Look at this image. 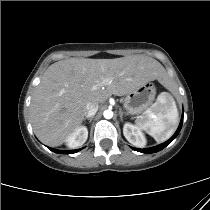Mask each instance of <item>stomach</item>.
I'll return each instance as SVG.
<instances>
[{"instance_id":"0dacf381","label":"stomach","mask_w":210,"mask_h":210,"mask_svg":"<svg viewBox=\"0 0 210 210\" xmlns=\"http://www.w3.org/2000/svg\"><path fill=\"white\" fill-rule=\"evenodd\" d=\"M156 88L153 83H145L126 94L123 106L128 114L139 115L144 113L155 99Z\"/></svg>"}]
</instances>
